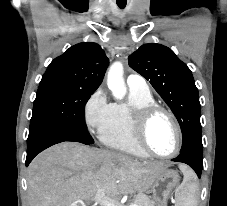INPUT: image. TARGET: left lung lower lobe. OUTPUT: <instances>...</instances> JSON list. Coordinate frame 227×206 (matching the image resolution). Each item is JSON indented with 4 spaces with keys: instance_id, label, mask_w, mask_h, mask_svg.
I'll return each mask as SVG.
<instances>
[{
    "instance_id": "1",
    "label": "left lung lower lobe",
    "mask_w": 227,
    "mask_h": 206,
    "mask_svg": "<svg viewBox=\"0 0 227 206\" xmlns=\"http://www.w3.org/2000/svg\"><path fill=\"white\" fill-rule=\"evenodd\" d=\"M175 162H182L189 165L200 178L201 171L203 169V156L196 153L194 150L187 148L184 151H181L179 156L172 159Z\"/></svg>"
}]
</instances>
